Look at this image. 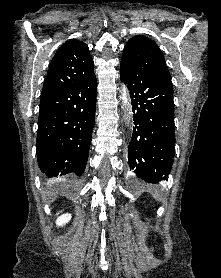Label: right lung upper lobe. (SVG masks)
Listing matches in <instances>:
<instances>
[{"label": "right lung upper lobe", "mask_w": 221, "mask_h": 278, "mask_svg": "<svg viewBox=\"0 0 221 278\" xmlns=\"http://www.w3.org/2000/svg\"><path fill=\"white\" fill-rule=\"evenodd\" d=\"M94 75L88 46L75 39L65 42L54 55L42 93L77 84Z\"/></svg>", "instance_id": "right-lung-upper-lobe-1"}]
</instances>
